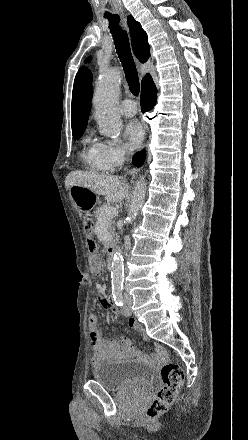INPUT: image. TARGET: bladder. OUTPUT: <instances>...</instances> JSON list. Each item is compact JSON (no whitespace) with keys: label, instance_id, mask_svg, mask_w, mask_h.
<instances>
[{"label":"bladder","instance_id":"obj_1","mask_svg":"<svg viewBox=\"0 0 248 440\" xmlns=\"http://www.w3.org/2000/svg\"><path fill=\"white\" fill-rule=\"evenodd\" d=\"M154 375L150 366L133 359L108 361L93 370L94 380L109 391H146Z\"/></svg>","mask_w":248,"mask_h":440}]
</instances>
